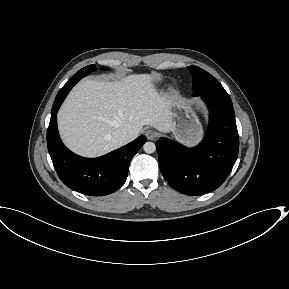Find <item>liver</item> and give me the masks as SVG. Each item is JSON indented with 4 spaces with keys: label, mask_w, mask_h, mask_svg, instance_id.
<instances>
[{
    "label": "liver",
    "mask_w": 289,
    "mask_h": 289,
    "mask_svg": "<svg viewBox=\"0 0 289 289\" xmlns=\"http://www.w3.org/2000/svg\"><path fill=\"white\" fill-rule=\"evenodd\" d=\"M171 100L156 90L153 77L133 74L119 82L85 79L69 93L58 112V128L73 152L96 157L120 147L113 134L123 130L128 142L144 125L160 131L172 127Z\"/></svg>",
    "instance_id": "liver-1"
}]
</instances>
